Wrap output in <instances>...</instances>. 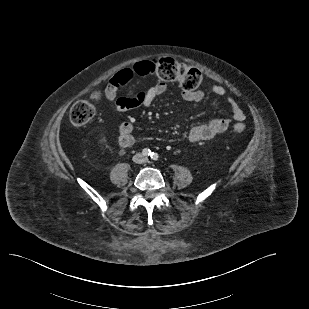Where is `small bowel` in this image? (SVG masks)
<instances>
[{
  "label": "small bowel",
  "instance_id": "1",
  "mask_svg": "<svg viewBox=\"0 0 309 309\" xmlns=\"http://www.w3.org/2000/svg\"><path fill=\"white\" fill-rule=\"evenodd\" d=\"M154 74L151 61H141L134 64L132 67H127L116 72L109 80L105 87L104 94L107 100H116V109L118 111H126L134 107L145 106L149 107L153 101L163 95L167 90V85L164 82H158L148 89L138 92L133 97H119V89L129 83L136 77H144ZM211 90L214 94L224 97L226 103L231 110V118H216L206 123L192 127L188 132L189 141L196 143L215 138L224 133L231 120L241 123L245 120V114L238 102L227 94L224 87L213 85ZM183 98L186 101L198 103L204 98V93L201 90L184 91ZM119 143L123 148H130L134 144L133 126L130 121L123 122L119 127Z\"/></svg>",
  "mask_w": 309,
  "mask_h": 309
}]
</instances>
